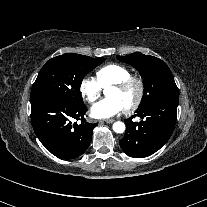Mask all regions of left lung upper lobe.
<instances>
[{
    "label": "left lung upper lobe",
    "instance_id": "obj_1",
    "mask_svg": "<svg viewBox=\"0 0 207 207\" xmlns=\"http://www.w3.org/2000/svg\"><path fill=\"white\" fill-rule=\"evenodd\" d=\"M117 58L136 68L143 78L144 95L136 111L144 110L161 100H178V88L165 62L139 52Z\"/></svg>",
    "mask_w": 207,
    "mask_h": 207
}]
</instances>
